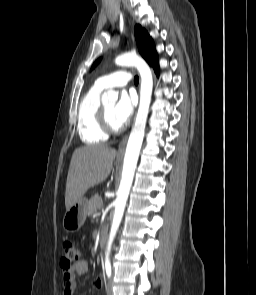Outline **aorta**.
<instances>
[{
  "label": "aorta",
  "mask_w": 256,
  "mask_h": 295,
  "mask_svg": "<svg viewBox=\"0 0 256 295\" xmlns=\"http://www.w3.org/2000/svg\"><path fill=\"white\" fill-rule=\"evenodd\" d=\"M115 64L118 66H134L137 68L141 76V88L139 108L134 127L130 133L126 146L122 177L117 193V198L115 200V211L105 253L106 260H109L111 246L120 226L130 188L133 182L136 165L145 134L146 121L149 113L153 89L151 69L148 64L137 54L124 53L115 59ZM117 99L118 93L113 90L104 92L101 98L103 104L115 103Z\"/></svg>",
  "instance_id": "obj_1"
}]
</instances>
